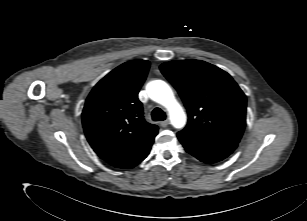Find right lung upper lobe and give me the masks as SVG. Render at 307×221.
<instances>
[{"label":"right lung upper lobe","mask_w":307,"mask_h":221,"mask_svg":"<svg viewBox=\"0 0 307 221\" xmlns=\"http://www.w3.org/2000/svg\"><path fill=\"white\" fill-rule=\"evenodd\" d=\"M150 63L126 62L101 79L90 92L82 122L86 138L103 160L120 168L154 141L158 127L143 118L138 92Z\"/></svg>","instance_id":"right-lung-upper-lobe-1"}]
</instances>
